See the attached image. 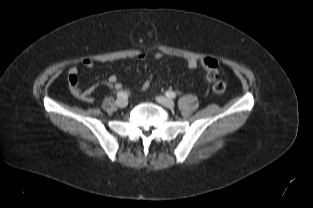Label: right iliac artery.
<instances>
[{
  "mask_svg": "<svg viewBox=\"0 0 313 208\" xmlns=\"http://www.w3.org/2000/svg\"><path fill=\"white\" fill-rule=\"evenodd\" d=\"M125 92H123V91H119L118 93H117V97L118 98H123V97H125Z\"/></svg>",
  "mask_w": 313,
  "mask_h": 208,
  "instance_id": "1",
  "label": "right iliac artery"
}]
</instances>
